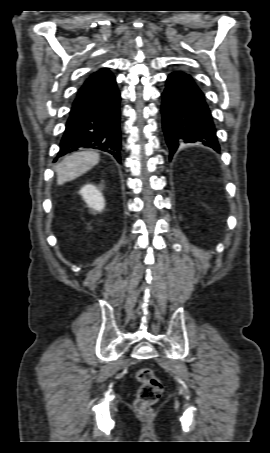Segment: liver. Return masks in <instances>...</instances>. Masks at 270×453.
Instances as JSON below:
<instances>
[{"instance_id":"liver-1","label":"liver","mask_w":270,"mask_h":453,"mask_svg":"<svg viewBox=\"0 0 270 453\" xmlns=\"http://www.w3.org/2000/svg\"><path fill=\"white\" fill-rule=\"evenodd\" d=\"M100 155L94 151H79L66 156L57 166V184L74 180L97 165Z\"/></svg>"}]
</instances>
